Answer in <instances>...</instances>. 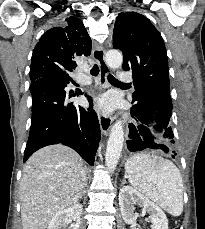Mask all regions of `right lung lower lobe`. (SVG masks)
Masks as SVG:
<instances>
[{
  "label": "right lung lower lobe",
  "instance_id": "1",
  "mask_svg": "<svg viewBox=\"0 0 205 229\" xmlns=\"http://www.w3.org/2000/svg\"><path fill=\"white\" fill-rule=\"evenodd\" d=\"M66 86L54 76L31 82L32 122L23 162L44 146L62 143L93 165L101 134L92 99L88 97V110L73 105L68 99L82 92L67 91Z\"/></svg>",
  "mask_w": 205,
  "mask_h": 229
}]
</instances>
